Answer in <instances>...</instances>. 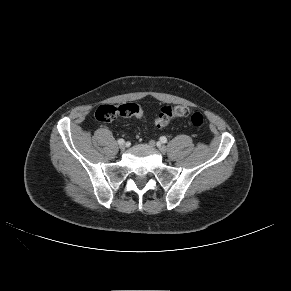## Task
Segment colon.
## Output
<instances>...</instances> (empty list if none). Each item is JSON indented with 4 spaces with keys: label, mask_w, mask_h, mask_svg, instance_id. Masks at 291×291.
<instances>
[{
    "label": "colon",
    "mask_w": 291,
    "mask_h": 291,
    "mask_svg": "<svg viewBox=\"0 0 291 291\" xmlns=\"http://www.w3.org/2000/svg\"><path fill=\"white\" fill-rule=\"evenodd\" d=\"M117 116L122 117H143V109L138 103H125L119 106L101 105L95 112V119L99 122H109ZM188 117L193 126L199 128L204 123L202 113L193 111L184 105L165 106L161 108L155 117L154 123L157 127L168 126L173 120Z\"/></svg>",
    "instance_id": "obj_1"
}]
</instances>
